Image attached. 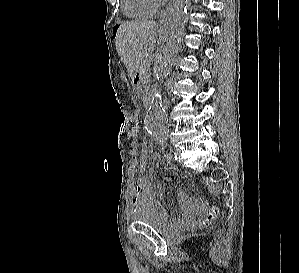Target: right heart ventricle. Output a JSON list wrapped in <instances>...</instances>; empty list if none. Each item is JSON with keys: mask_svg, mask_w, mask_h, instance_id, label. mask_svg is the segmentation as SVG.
Returning a JSON list of instances; mask_svg holds the SVG:
<instances>
[{"mask_svg": "<svg viewBox=\"0 0 299 273\" xmlns=\"http://www.w3.org/2000/svg\"><path fill=\"white\" fill-rule=\"evenodd\" d=\"M122 11L131 19L143 20L154 15L155 7L150 0H122Z\"/></svg>", "mask_w": 299, "mask_h": 273, "instance_id": "right-heart-ventricle-1", "label": "right heart ventricle"}]
</instances>
